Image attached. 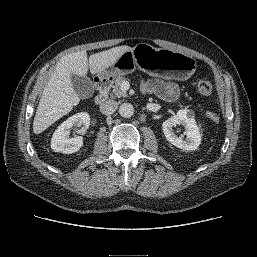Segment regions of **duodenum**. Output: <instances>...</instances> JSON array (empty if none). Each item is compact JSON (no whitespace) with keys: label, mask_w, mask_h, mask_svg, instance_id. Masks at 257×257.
<instances>
[{"label":"duodenum","mask_w":257,"mask_h":257,"mask_svg":"<svg viewBox=\"0 0 257 257\" xmlns=\"http://www.w3.org/2000/svg\"><path fill=\"white\" fill-rule=\"evenodd\" d=\"M110 83H111V80L109 78L96 79V87H97L98 93L96 95L95 101L97 104H103L107 100Z\"/></svg>","instance_id":"obj_1"}]
</instances>
